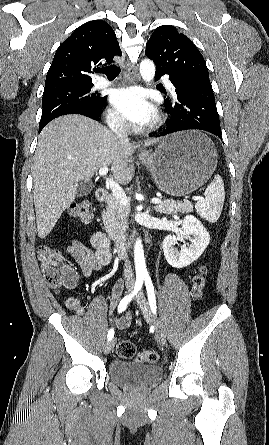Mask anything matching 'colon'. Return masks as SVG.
Masks as SVG:
<instances>
[{"label":"colon","instance_id":"1","mask_svg":"<svg viewBox=\"0 0 269 445\" xmlns=\"http://www.w3.org/2000/svg\"><path fill=\"white\" fill-rule=\"evenodd\" d=\"M71 218L87 224L92 220L91 203L89 200H80L71 205L69 209ZM37 256L45 282L51 288H73L76 284L74 278L67 274L66 265L61 256L49 246H40ZM207 284V268L200 266L191 279V295L198 301L204 294ZM116 354L124 359L134 358L139 363H155L159 359L156 351L146 350L136 355V347L129 340H121L116 346Z\"/></svg>","mask_w":269,"mask_h":445}]
</instances>
